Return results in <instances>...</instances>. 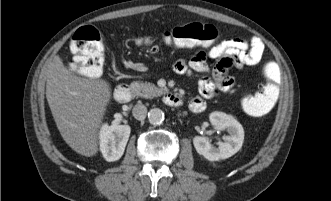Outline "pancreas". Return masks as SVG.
<instances>
[{"label": "pancreas", "mask_w": 331, "mask_h": 201, "mask_svg": "<svg viewBox=\"0 0 331 201\" xmlns=\"http://www.w3.org/2000/svg\"><path fill=\"white\" fill-rule=\"evenodd\" d=\"M131 88L134 90L137 96L144 98H153L164 93V89L158 88L152 83H143L139 81L132 82Z\"/></svg>", "instance_id": "1"}]
</instances>
